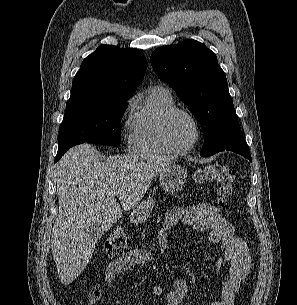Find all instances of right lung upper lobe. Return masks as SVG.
<instances>
[{
    "label": "right lung upper lobe",
    "mask_w": 297,
    "mask_h": 305,
    "mask_svg": "<svg viewBox=\"0 0 297 305\" xmlns=\"http://www.w3.org/2000/svg\"><path fill=\"white\" fill-rule=\"evenodd\" d=\"M146 69L147 60L141 51L101 45L83 60L67 105L132 96Z\"/></svg>",
    "instance_id": "obj_1"
}]
</instances>
